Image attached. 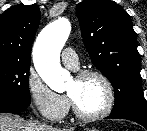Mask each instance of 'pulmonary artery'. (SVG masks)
Instances as JSON below:
<instances>
[{
    "label": "pulmonary artery",
    "mask_w": 147,
    "mask_h": 131,
    "mask_svg": "<svg viewBox=\"0 0 147 131\" xmlns=\"http://www.w3.org/2000/svg\"><path fill=\"white\" fill-rule=\"evenodd\" d=\"M62 61L63 63L72 70H77L79 68V59L76 52L72 48H65L62 51Z\"/></svg>",
    "instance_id": "1"
}]
</instances>
